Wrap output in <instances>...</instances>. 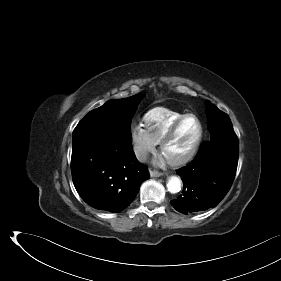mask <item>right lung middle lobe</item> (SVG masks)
I'll list each match as a JSON object with an SVG mask.
<instances>
[{
    "mask_svg": "<svg viewBox=\"0 0 281 281\" xmlns=\"http://www.w3.org/2000/svg\"><path fill=\"white\" fill-rule=\"evenodd\" d=\"M143 96L109 100L90 111L73 131L72 149L111 141L131 143V119Z\"/></svg>",
    "mask_w": 281,
    "mask_h": 281,
    "instance_id": "right-lung-middle-lobe-1",
    "label": "right lung middle lobe"
}]
</instances>
